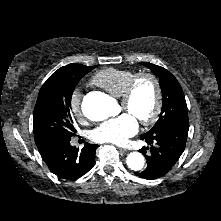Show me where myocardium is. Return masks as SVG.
Instances as JSON below:
<instances>
[{
    "instance_id": "obj_1",
    "label": "myocardium",
    "mask_w": 221,
    "mask_h": 221,
    "mask_svg": "<svg viewBox=\"0 0 221 221\" xmlns=\"http://www.w3.org/2000/svg\"><path fill=\"white\" fill-rule=\"evenodd\" d=\"M141 79H148L152 82L155 90V103L154 108L150 116L146 118L139 119L140 123L142 125L148 126L154 124L162 111L163 106V93H162V87L159 78L150 72H141L134 74L130 80L127 82L121 96H120V103L123 105H127L132 98L135 86L137 82Z\"/></svg>"
}]
</instances>
